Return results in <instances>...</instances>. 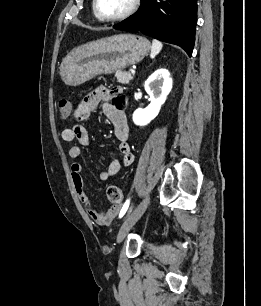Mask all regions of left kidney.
Wrapping results in <instances>:
<instances>
[{
  "label": "left kidney",
  "mask_w": 261,
  "mask_h": 306,
  "mask_svg": "<svg viewBox=\"0 0 261 306\" xmlns=\"http://www.w3.org/2000/svg\"><path fill=\"white\" fill-rule=\"evenodd\" d=\"M172 78L166 69L155 71L145 82L144 88L150 96V104L145 108H138L133 113V122L138 126L149 124L160 112L167 96L172 89Z\"/></svg>",
  "instance_id": "left-kidney-1"
}]
</instances>
